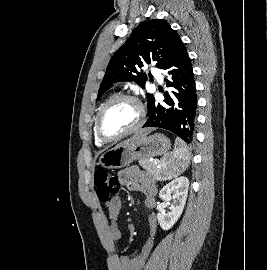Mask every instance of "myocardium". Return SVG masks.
I'll use <instances>...</instances> for the list:
<instances>
[{
    "label": "myocardium",
    "mask_w": 267,
    "mask_h": 270,
    "mask_svg": "<svg viewBox=\"0 0 267 270\" xmlns=\"http://www.w3.org/2000/svg\"><path fill=\"white\" fill-rule=\"evenodd\" d=\"M120 101H131L133 103H135L138 106L139 109V120L138 122L128 131L121 133L117 136H107L102 129V118L105 114V112L115 103L120 102ZM146 120V110L144 105L142 104V102L134 95L131 94H119L116 95L114 97H112L111 99H109L98 111L97 115H96V119H95V132L97 137L99 138L100 141H102L103 143H111V142H115V141H119L133 133H135L136 131H138L143 124L145 123Z\"/></svg>",
    "instance_id": "f54148a6"
}]
</instances>
